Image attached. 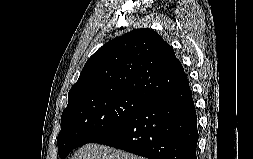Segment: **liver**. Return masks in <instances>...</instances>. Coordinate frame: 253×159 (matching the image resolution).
<instances>
[{"label":"liver","instance_id":"obj_1","mask_svg":"<svg viewBox=\"0 0 253 159\" xmlns=\"http://www.w3.org/2000/svg\"><path fill=\"white\" fill-rule=\"evenodd\" d=\"M70 159H145L112 147L88 143L79 148Z\"/></svg>","mask_w":253,"mask_h":159}]
</instances>
